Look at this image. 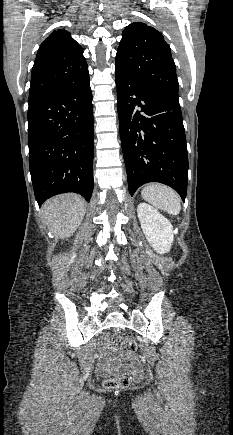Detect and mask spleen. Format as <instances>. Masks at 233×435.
I'll return each instance as SVG.
<instances>
[{"mask_svg":"<svg viewBox=\"0 0 233 435\" xmlns=\"http://www.w3.org/2000/svg\"><path fill=\"white\" fill-rule=\"evenodd\" d=\"M142 197L158 209L171 215H178L181 211L180 197L172 188L151 183L141 191Z\"/></svg>","mask_w":233,"mask_h":435,"instance_id":"1","label":"spleen"}]
</instances>
